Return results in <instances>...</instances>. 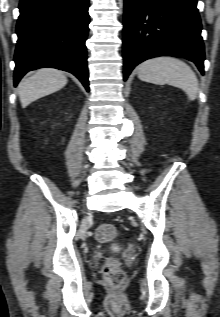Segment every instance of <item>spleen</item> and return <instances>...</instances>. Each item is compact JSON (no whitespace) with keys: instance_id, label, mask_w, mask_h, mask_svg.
<instances>
[{"instance_id":"spleen-1","label":"spleen","mask_w":220,"mask_h":317,"mask_svg":"<svg viewBox=\"0 0 220 317\" xmlns=\"http://www.w3.org/2000/svg\"><path fill=\"white\" fill-rule=\"evenodd\" d=\"M138 78L154 84H169L181 88L189 99L198 94V79L183 61L170 56H159L142 62L137 67Z\"/></svg>"}]
</instances>
